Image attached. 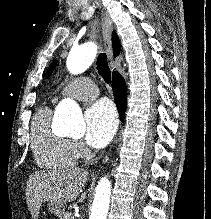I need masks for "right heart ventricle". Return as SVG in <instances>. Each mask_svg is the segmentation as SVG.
<instances>
[{
    "instance_id": "e07e8e85",
    "label": "right heart ventricle",
    "mask_w": 211,
    "mask_h": 219,
    "mask_svg": "<svg viewBox=\"0 0 211 219\" xmlns=\"http://www.w3.org/2000/svg\"><path fill=\"white\" fill-rule=\"evenodd\" d=\"M31 146L36 163L47 169L75 166L78 155L69 139L57 135L51 129V110L40 108L31 127Z\"/></svg>"
}]
</instances>
